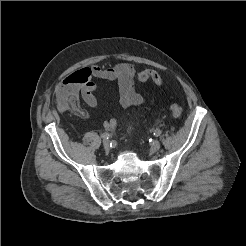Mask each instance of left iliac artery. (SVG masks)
Wrapping results in <instances>:
<instances>
[{
	"instance_id": "left-iliac-artery-1",
	"label": "left iliac artery",
	"mask_w": 246,
	"mask_h": 246,
	"mask_svg": "<svg viewBox=\"0 0 246 246\" xmlns=\"http://www.w3.org/2000/svg\"><path fill=\"white\" fill-rule=\"evenodd\" d=\"M161 130L160 129H156L155 131H154V136H156V137H158V136H160L161 135Z\"/></svg>"
}]
</instances>
